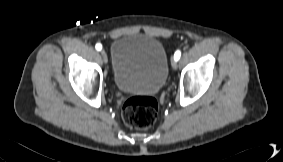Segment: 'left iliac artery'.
<instances>
[{"instance_id":"left-iliac-artery-1","label":"left iliac artery","mask_w":283,"mask_h":162,"mask_svg":"<svg viewBox=\"0 0 283 162\" xmlns=\"http://www.w3.org/2000/svg\"><path fill=\"white\" fill-rule=\"evenodd\" d=\"M180 56H181V52L177 50L174 54V60L178 61L180 59Z\"/></svg>"}]
</instances>
